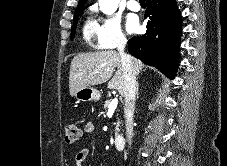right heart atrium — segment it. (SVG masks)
Wrapping results in <instances>:
<instances>
[{
    "instance_id": "obj_1",
    "label": "right heart atrium",
    "mask_w": 227,
    "mask_h": 166,
    "mask_svg": "<svg viewBox=\"0 0 227 166\" xmlns=\"http://www.w3.org/2000/svg\"><path fill=\"white\" fill-rule=\"evenodd\" d=\"M91 10L96 15L95 35L98 45L107 50L123 46L126 39L119 18L101 14L97 6H93Z\"/></svg>"
}]
</instances>
